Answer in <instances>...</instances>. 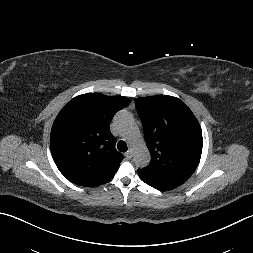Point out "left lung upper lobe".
I'll return each mask as SVG.
<instances>
[{
    "mask_svg": "<svg viewBox=\"0 0 253 253\" xmlns=\"http://www.w3.org/2000/svg\"><path fill=\"white\" fill-rule=\"evenodd\" d=\"M144 137L151 154L139 176L180 186L195 171L202 153L198 120L180 99L167 95L136 98Z\"/></svg>",
    "mask_w": 253,
    "mask_h": 253,
    "instance_id": "left-lung-upper-lobe-1",
    "label": "left lung upper lobe"
}]
</instances>
